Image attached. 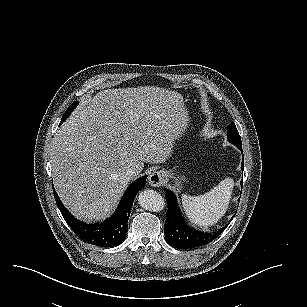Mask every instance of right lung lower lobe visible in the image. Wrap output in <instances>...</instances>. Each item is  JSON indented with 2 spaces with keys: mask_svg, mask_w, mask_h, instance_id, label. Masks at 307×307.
<instances>
[{
  "mask_svg": "<svg viewBox=\"0 0 307 307\" xmlns=\"http://www.w3.org/2000/svg\"><path fill=\"white\" fill-rule=\"evenodd\" d=\"M147 176L134 181L123 195L116 212L104 221L97 224H85L74 218L63 206L54 188V196L57 206L68 225L79 238L88 244L100 247H113L121 244L127 232L128 218L131 212L134 198L146 183Z\"/></svg>",
  "mask_w": 307,
  "mask_h": 307,
  "instance_id": "obj_1",
  "label": "right lung lower lobe"
}]
</instances>
